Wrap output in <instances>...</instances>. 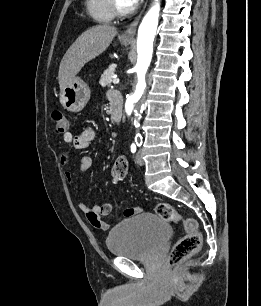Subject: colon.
Wrapping results in <instances>:
<instances>
[{
  "label": "colon",
  "instance_id": "colon-1",
  "mask_svg": "<svg viewBox=\"0 0 261 306\" xmlns=\"http://www.w3.org/2000/svg\"><path fill=\"white\" fill-rule=\"evenodd\" d=\"M51 120L56 133L63 134L67 131V119L60 110H53L51 112ZM127 172V160L124 157H119L111 168V178L114 182H120L126 177ZM156 213L169 223H180L185 231V235L174 244L170 251L168 263L173 267L200 248L202 244V235L199 231L198 223L194 218L182 216L178 210L169 203H159L156 206Z\"/></svg>",
  "mask_w": 261,
  "mask_h": 306
}]
</instances>
